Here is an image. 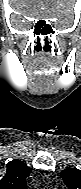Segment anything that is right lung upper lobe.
I'll return each instance as SVG.
<instances>
[{"mask_svg": "<svg viewBox=\"0 0 81 189\" xmlns=\"http://www.w3.org/2000/svg\"><path fill=\"white\" fill-rule=\"evenodd\" d=\"M31 170L21 160L10 161L5 176L0 180V189H27L25 179Z\"/></svg>", "mask_w": 81, "mask_h": 189, "instance_id": "1", "label": "right lung upper lobe"}]
</instances>
